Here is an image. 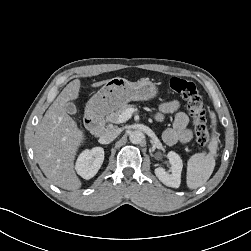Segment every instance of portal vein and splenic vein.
<instances>
[{
    "instance_id": "1",
    "label": "portal vein and splenic vein",
    "mask_w": 251,
    "mask_h": 251,
    "mask_svg": "<svg viewBox=\"0 0 251 251\" xmlns=\"http://www.w3.org/2000/svg\"><path fill=\"white\" fill-rule=\"evenodd\" d=\"M134 112H135L134 108L126 109L119 115L117 123H124L128 121Z\"/></svg>"
}]
</instances>
